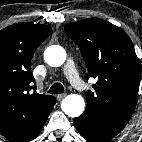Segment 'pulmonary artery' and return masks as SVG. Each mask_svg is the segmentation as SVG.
Instances as JSON below:
<instances>
[{
	"label": "pulmonary artery",
	"mask_w": 142,
	"mask_h": 142,
	"mask_svg": "<svg viewBox=\"0 0 142 142\" xmlns=\"http://www.w3.org/2000/svg\"><path fill=\"white\" fill-rule=\"evenodd\" d=\"M63 72L68 79V81L76 88L81 89L83 88L84 84L78 74V71L75 67V63L72 59H69L64 68Z\"/></svg>",
	"instance_id": "obj_1"
}]
</instances>
